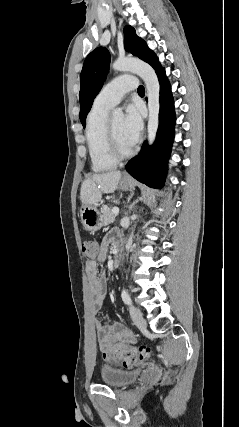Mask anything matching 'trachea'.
Instances as JSON below:
<instances>
[{
    "label": "trachea",
    "instance_id": "1",
    "mask_svg": "<svg viewBox=\"0 0 239 427\" xmlns=\"http://www.w3.org/2000/svg\"><path fill=\"white\" fill-rule=\"evenodd\" d=\"M138 93H139V94H143V93H145V89H144V87H143L142 85H140V86L138 87Z\"/></svg>",
    "mask_w": 239,
    "mask_h": 427
}]
</instances>
